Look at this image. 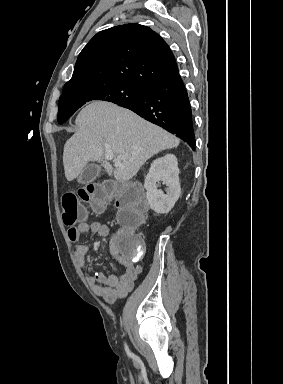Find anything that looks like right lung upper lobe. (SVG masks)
I'll list each match as a JSON object with an SVG mask.
<instances>
[{
	"mask_svg": "<svg viewBox=\"0 0 283 384\" xmlns=\"http://www.w3.org/2000/svg\"><path fill=\"white\" fill-rule=\"evenodd\" d=\"M177 73L169 46L156 32L125 24L101 31L89 41L64 88L121 81L147 89Z\"/></svg>",
	"mask_w": 283,
	"mask_h": 384,
	"instance_id": "obj_1",
	"label": "right lung upper lobe"
}]
</instances>
